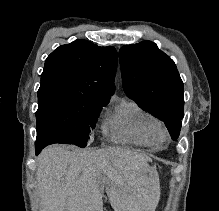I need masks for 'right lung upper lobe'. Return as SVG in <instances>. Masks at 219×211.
<instances>
[{"mask_svg": "<svg viewBox=\"0 0 219 211\" xmlns=\"http://www.w3.org/2000/svg\"><path fill=\"white\" fill-rule=\"evenodd\" d=\"M117 51L78 39L59 46L45 61L38 95L58 93L107 102L114 93Z\"/></svg>", "mask_w": 219, "mask_h": 211, "instance_id": "1", "label": "right lung upper lobe"}]
</instances>
